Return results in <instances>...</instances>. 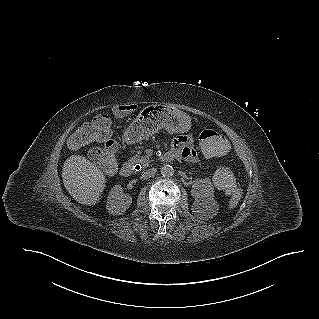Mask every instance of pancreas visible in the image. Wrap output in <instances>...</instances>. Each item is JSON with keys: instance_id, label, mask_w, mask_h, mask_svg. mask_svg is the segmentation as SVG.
<instances>
[{"instance_id": "1", "label": "pancreas", "mask_w": 319, "mask_h": 319, "mask_svg": "<svg viewBox=\"0 0 319 319\" xmlns=\"http://www.w3.org/2000/svg\"><path fill=\"white\" fill-rule=\"evenodd\" d=\"M132 160H133L135 163L141 165L143 168L148 167L149 164H150V162H151V160H150V158H149L148 156H144V157L134 156V157L132 158Z\"/></svg>"}]
</instances>
